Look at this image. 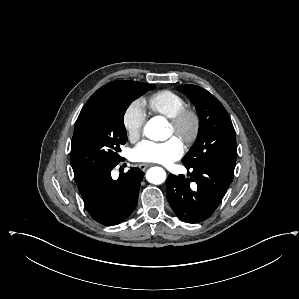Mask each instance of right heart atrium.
I'll return each mask as SVG.
<instances>
[{
  "instance_id": "1",
  "label": "right heart atrium",
  "mask_w": 299,
  "mask_h": 299,
  "mask_svg": "<svg viewBox=\"0 0 299 299\" xmlns=\"http://www.w3.org/2000/svg\"><path fill=\"white\" fill-rule=\"evenodd\" d=\"M145 119L146 112L141 100H134L126 107L122 124L128 139L133 141L140 136Z\"/></svg>"
}]
</instances>
